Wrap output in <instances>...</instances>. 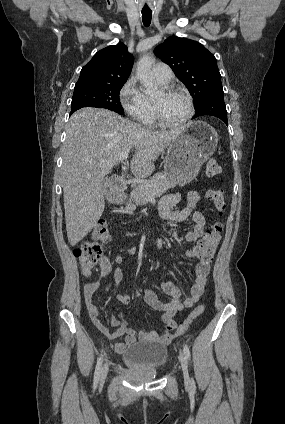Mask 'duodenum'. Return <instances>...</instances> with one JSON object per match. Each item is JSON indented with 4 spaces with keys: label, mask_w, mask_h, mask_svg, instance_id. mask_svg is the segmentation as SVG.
Masks as SVG:
<instances>
[{
    "label": "duodenum",
    "mask_w": 285,
    "mask_h": 424,
    "mask_svg": "<svg viewBox=\"0 0 285 424\" xmlns=\"http://www.w3.org/2000/svg\"><path fill=\"white\" fill-rule=\"evenodd\" d=\"M125 185L124 179L120 176H113L110 180V187L113 195L123 192Z\"/></svg>",
    "instance_id": "duodenum-1"
}]
</instances>
